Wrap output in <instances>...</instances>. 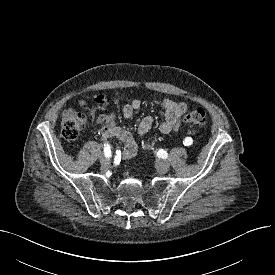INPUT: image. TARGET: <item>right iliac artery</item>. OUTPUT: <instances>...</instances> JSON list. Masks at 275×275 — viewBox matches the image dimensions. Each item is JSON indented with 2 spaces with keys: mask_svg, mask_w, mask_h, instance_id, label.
Here are the masks:
<instances>
[{
  "mask_svg": "<svg viewBox=\"0 0 275 275\" xmlns=\"http://www.w3.org/2000/svg\"><path fill=\"white\" fill-rule=\"evenodd\" d=\"M104 155L107 158L111 157V148H110L109 144H105V146H104Z\"/></svg>",
  "mask_w": 275,
  "mask_h": 275,
  "instance_id": "82829eb1",
  "label": "right iliac artery"
}]
</instances>
